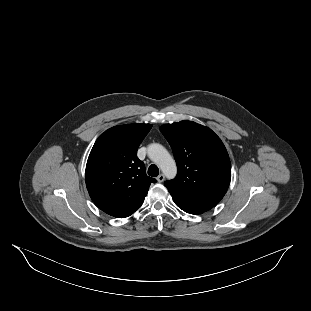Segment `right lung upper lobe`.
<instances>
[{
    "label": "right lung upper lobe",
    "mask_w": 311,
    "mask_h": 311,
    "mask_svg": "<svg viewBox=\"0 0 311 311\" xmlns=\"http://www.w3.org/2000/svg\"><path fill=\"white\" fill-rule=\"evenodd\" d=\"M151 124L112 127L96 140L86 165L85 180L89 195L105 213L124 218L143 203L151 183L137 150Z\"/></svg>",
    "instance_id": "1"
}]
</instances>
